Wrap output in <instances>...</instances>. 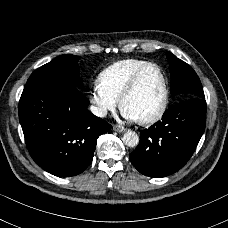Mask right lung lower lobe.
<instances>
[{"label":"right lung lower lobe","instance_id":"98d812e1","mask_svg":"<svg viewBox=\"0 0 228 228\" xmlns=\"http://www.w3.org/2000/svg\"><path fill=\"white\" fill-rule=\"evenodd\" d=\"M89 100L67 80L26 83L19 120L33 160L58 177L82 173L90 164L98 137L111 125L88 109Z\"/></svg>","mask_w":228,"mask_h":228}]
</instances>
